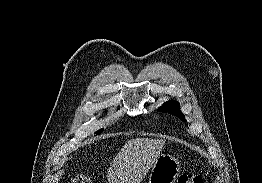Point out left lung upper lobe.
Returning a JSON list of instances; mask_svg holds the SVG:
<instances>
[{
    "mask_svg": "<svg viewBox=\"0 0 262 183\" xmlns=\"http://www.w3.org/2000/svg\"><path fill=\"white\" fill-rule=\"evenodd\" d=\"M159 111L169 112L178 116L181 120L185 121L183 113L180 111V106L177 101L170 100L164 103L162 107L159 108Z\"/></svg>",
    "mask_w": 262,
    "mask_h": 183,
    "instance_id": "obj_1",
    "label": "left lung upper lobe"
}]
</instances>
